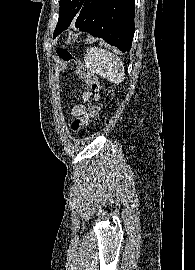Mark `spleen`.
<instances>
[{
  "mask_svg": "<svg viewBox=\"0 0 195 270\" xmlns=\"http://www.w3.org/2000/svg\"><path fill=\"white\" fill-rule=\"evenodd\" d=\"M84 61L86 67L107 81L115 84L125 79V69L120 58L105 49L90 47L87 49Z\"/></svg>",
  "mask_w": 195,
  "mask_h": 270,
  "instance_id": "1",
  "label": "spleen"
}]
</instances>
